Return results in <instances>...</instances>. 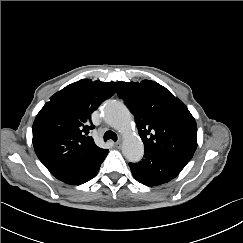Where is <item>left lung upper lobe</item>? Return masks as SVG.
<instances>
[{"instance_id": "5c2ea615", "label": "left lung upper lobe", "mask_w": 243, "mask_h": 243, "mask_svg": "<svg viewBox=\"0 0 243 243\" xmlns=\"http://www.w3.org/2000/svg\"><path fill=\"white\" fill-rule=\"evenodd\" d=\"M117 94L135 117L144 148L156 152L193 156L197 126L182 101L151 80L117 82Z\"/></svg>"}]
</instances>
